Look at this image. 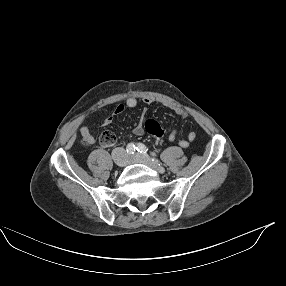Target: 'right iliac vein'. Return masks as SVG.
<instances>
[{
    "label": "right iliac vein",
    "instance_id": "obj_1",
    "mask_svg": "<svg viewBox=\"0 0 286 286\" xmlns=\"http://www.w3.org/2000/svg\"><path fill=\"white\" fill-rule=\"evenodd\" d=\"M119 166H124L125 165V162L124 161H120L117 163Z\"/></svg>",
    "mask_w": 286,
    "mask_h": 286
}]
</instances>
